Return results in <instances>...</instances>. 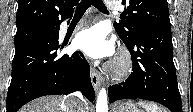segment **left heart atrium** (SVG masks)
Wrapping results in <instances>:
<instances>
[{
  "label": "left heart atrium",
  "mask_w": 193,
  "mask_h": 112,
  "mask_svg": "<svg viewBox=\"0 0 193 112\" xmlns=\"http://www.w3.org/2000/svg\"><path fill=\"white\" fill-rule=\"evenodd\" d=\"M75 43L85 55L93 59L109 57L114 53V42L108 39L106 29L101 24L80 31Z\"/></svg>",
  "instance_id": "obj_1"
}]
</instances>
